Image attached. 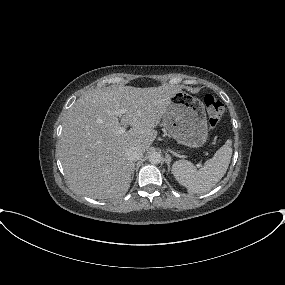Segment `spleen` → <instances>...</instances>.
Listing matches in <instances>:
<instances>
[{"instance_id":"obj_1","label":"spleen","mask_w":285,"mask_h":285,"mask_svg":"<svg viewBox=\"0 0 285 285\" xmlns=\"http://www.w3.org/2000/svg\"><path fill=\"white\" fill-rule=\"evenodd\" d=\"M231 144L232 141L228 139L199 170L191 162L176 161L172 167L176 180L186 187L190 194H203L210 191L228 169L232 156Z\"/></svg>"}]
</instances>
